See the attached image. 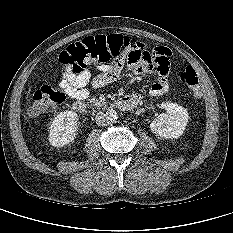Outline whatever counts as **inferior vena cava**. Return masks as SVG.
I'll list each match as a JSON object with an SVG mask.
<instances>
[{
    "label": "inferior vena cava",
    "instance_id": "1",
    "mask_svg": "<svg viewBox=\"0 0 233 233\" xmlns=\"http://www.w3.org/2000/svg\"><path fill=\"white\" fill-rule=\"evenodd\" d=\"M95 119H96L97 125H99V126H106V125L110 124L106 114L103 112L97 113Z\"/></svg>",
    "mask_w": 233,
    "mask_h": 233
}]
</instances>
